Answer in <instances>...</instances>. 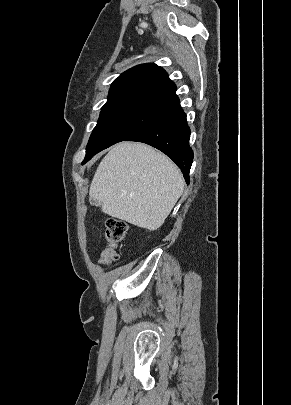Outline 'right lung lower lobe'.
I'll return each instance as SVG.
<instances>
[{"mask_svg": "<svg viewBox=\"0 0 291 405\" xmlns=\"http://www.w3.org/2000/svg\"><path fill=\"white\" fill-rule=\"evenodd\" d=\"M189 139L190 128L178 100L164 115L125 141L143 142L165 153L178 165L189 184V172L193 162Z\"/></svg>", "mask_w": 291, "mask_h": 405, "instance_id": "1", "label": "right lung lower lobe"}]
</instances>
